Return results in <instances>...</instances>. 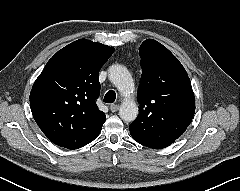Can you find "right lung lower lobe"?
<instances>
[{
  "label": "right lung lower lobe",
  "instance_id": "obj_1",
  "mask_svg": "<svg viewBox=\"0 0 240 191\" xmlns=\"http://www.w3.org/2000/svg\"><path fill=\"white\" fill-rule=\"evenodd\" d=\"M99 133L96 134L95 136H93L92 138L86 139L83 143H79V144H75V145H68V146H63V147L68 148V149H78V148H81V147L89 144L93 140H95L98 137Z\"/></svg>",
  "mask_w": 240,
  "mask_h": 191
}]
</instances>
